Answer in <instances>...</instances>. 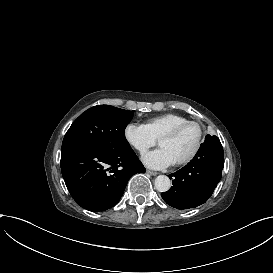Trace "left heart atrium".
Returning <instances> with one entry per match:
<instances>
[{"instance_id": "left-heart-atrium-1", "label": "left heart atrium", "mask_w": 273, "mask_h": 273, "mask_svg": "<svg viewBox=\"0 0 273 273\" xmlns=\"http://www.w3.org/2000/svg\"><path fill=\"white\" fill-rule=\"evenodd\" d=\"M142 161L147 167L153 169L168 167L175 163L168 150L163 147L145 153L142 156Z\"/></svg>"}]
</instances>
